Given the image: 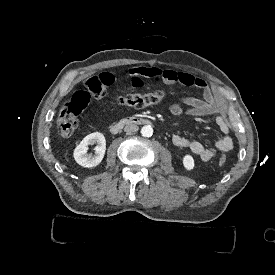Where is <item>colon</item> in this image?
Masks as SVG:
<instances>
[{
    "instance_id": "colon-1",
    "label": "colon",
    "mask_w": 275,
    "mask_h": 275,
    "mask_svg": "<svg viewBox=\"0 0 275 275\" xmlns=\"http://www.w3.org/2000/svg\"><path fill=\"white\" fill-rule=\"evenodd\" d=\"M87 87L95 97L99 98L104 97V92L109 90V87L102 83L100 75L90 77L87 80ZM162 98L163 92L156 90L147 94L122 97L119 99V102L121 105L128 107H148L159 103ZM89 101V92L86 90H77L66 102L58 114L56 123L57 130L62 136L70 137L75 134L79 121L84 115L88 114L86 109ZM216 161L218 164L225 166L228 163V158L226 155L220 154L217 156Z\"/></svg>"
}]
</instances>
